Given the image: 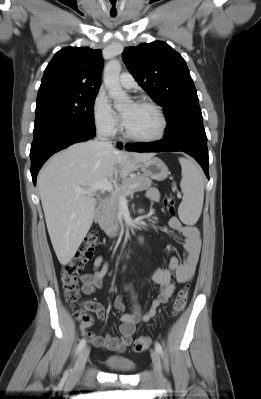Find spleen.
I'll list each match as a JSON object with an SVG mask.
<instances>
[{
	"label": "spleen",
	"instance_id": "obj_1",
	"mask_svg": "<svg viewBox=\"0 0 261 399\" xmlns=\"http://www.w3.org/2000/svg\"><path fill=\"white\" fill-rule=\"evenodd\" d=\"M182 167L180 183L183 200L178 208L181 221L194 225L202 212L204 201V176L201 169L191 160L179 158Z\"/></svg>",
	"mask_w": 261,
	"mask_h": 399
}]
</instances>
